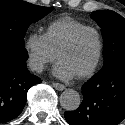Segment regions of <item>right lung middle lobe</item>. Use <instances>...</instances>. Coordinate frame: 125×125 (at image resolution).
Here are the masks:
<instances>
[{
	"label": "right lung middle lobe",
	"instance_id": "obj_1",
	"mask_svg": "<svg viewBox=\"0 0 125 125\" xmlns=\"http://www.w3.org/2000/svg\"><path fill=\"white\" fill-rule=\"evenodd\" d=\"M53 9L23 0H0V39L24 47V36L29 25Z\"/></svg>",
	"mask_w": 125,
	"mask_h": 125
}]
</instances>
